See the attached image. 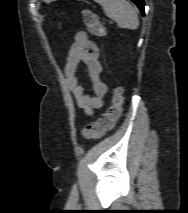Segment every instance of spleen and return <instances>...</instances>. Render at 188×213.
Masks as SVG:
<instances>
[{"mask_svg":"<svg viewBox=\"0 0 188 213\" xmlns=\"http://www.w3.org/2000/svg\"><path fill=\"white\" fill-rule=\"evenodd\" d=\"M99 3L107 17L116 21L120 28L135 30L139 26L136 7L126 0H94Z\"/></svg>","mask_w":188,"mask_h":213,"instance_id":"obj_1","label":"spleen"}]
</instances>
